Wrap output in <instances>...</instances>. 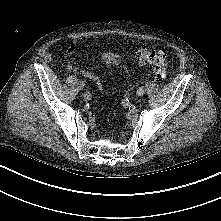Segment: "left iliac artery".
<instances>
[{
  "instance_id": "obj_1",
  "label": "left iliac artery",
  "mask_w": 221,
  "mask_h": 221,
  "mask_svg": "<svg viewBox=\"0 0 221 221\" xmlns=\"http://www.w3.org/2000/svg\"><path fill=\"white\" fill-rule=\"evenodd\" d=\"M122 106L124 108H129L131 107V102H130V99L128 96H125L123 99H122V102H121Z\"/></svg>"
}]
</instances>
